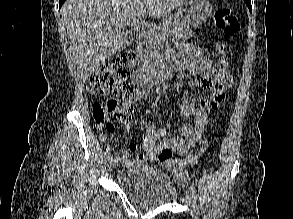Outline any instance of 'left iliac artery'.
Returning a JSON list of instances; mask_svg holds the SVG:
<instances>
[{
    "label": "left iliac artery",
    "mask_w": 293,
    "mask_h": 219,
    "mask_svg": "<svg viewBox=\"0 0 293 219\" xmlns=\"http://www.w3.org/2000/svg\"><path fill=\"white\" fill-rule=\"evenodd\" d=\"M190 190L192 192V195H196V187H195V184L193 182L190 185Z\"/></svg>",
    "instance_id": "1"
}]
</instances>
